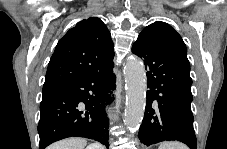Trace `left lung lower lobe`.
<instances>
[{
	"label": "left lung lower lobe",
	"mask_w": 227,
	"mask_h": 149,
	"mask_svg": "<svg viewBox=\"0 0 227 149\" xmlns=\"http://www.w3.org/2000/svg\"><path fill=\"white\" fill-rule=\"evenodd\" d=\"M132 52L144 61L149 88L138 133L140 142L149 146L177 140L196 149L190 71L150 27L139 34Z\"/></svg>",
	"instance_id": "obj_1"
}]
</instances>
